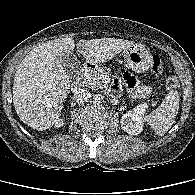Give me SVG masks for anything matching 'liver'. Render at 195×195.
I'll use <instances>...</instances> for the list:
<instances>
[{
    "label": "liver",
    "mask_w": 195,
    "mask_h": 195,
    "mask_svg": "<svg viewBox=\"0 0 195 195\" xmlns=\"http://www.w3.org/2000/svg\"><path fill=\"white\" fill-rule=\"evenodd\" d=\"M133 41L103 38L80 40L71 37L48 41L35 47L17 68L13 84V104L20 120L33 129L51 128L61 115L70 89V76L59 57L73 53L76 46L90 64L104 63Z\"/></svg>",
    "instance_id": "obj_1"
}]
</instances>
